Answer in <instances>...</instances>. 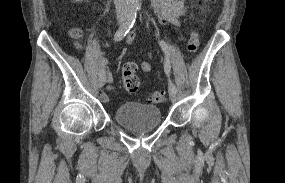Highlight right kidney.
Segmentation results:
<instances>
[{"label":"right kidney","mask_w":285,"mask_h":183,"mask_svg":"<svg viewBox=\"0 0 285 183\" xmlns=\"http://www.w3.org/2000/svg\"><path fill=\"white\" fill-rule=\"evenodd\" d=\"M73 2H82L84 0H72Z\"/></svg>","instance_id":"obj_1"}]
</instances>
